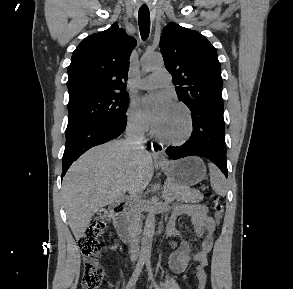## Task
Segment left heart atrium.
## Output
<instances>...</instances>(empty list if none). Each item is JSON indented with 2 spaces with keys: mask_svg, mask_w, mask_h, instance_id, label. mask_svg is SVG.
<instances>
[{
  "mask_svg": "<svg viewBox=\"0 0 293 289\" xmlns=\"http://www.w3.org/2000/svg\"><path fill=\"white\" fill-rule=\"evenodd\" d=\"M141 103L147 117L155 127L167 117L174 106L170 97L161 93L148 94L142 98Z\"/></svg>",
  "mask_w": 293,
  "mask_h": 289,
  "instance_id": "1",
  "label": "left heart atrium"
}]
</instances>
